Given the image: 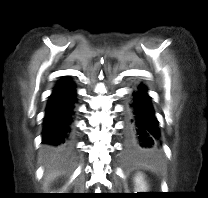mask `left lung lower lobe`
<instances>
[{
	"instance_id": "1",
	"label": "left lung lower lobe",
	"mask_w": 208,
	"mask_h": 198,
	"mask_svg": "<svg viewBox=\"0 0 208 198\" xmlns=\"http://www.w3.org/2000/svg\"><path fill=\"white\" fill-rule=\"evenodd\" d=\"M146 91L139 85L125 109L124 150L129 157L153 155L160 147L158 121Z\"/></svg>"
}]
</instances>
